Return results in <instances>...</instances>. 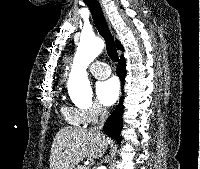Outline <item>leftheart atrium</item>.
<instances>
[{"mask_svg": "<svg viewBox=\"0 0 200 169\" xmlns=\"http://www.w3.org/2000/svg\"><path fill=\"white\" fill-rule=\"evenodd\" d=\"M120 93L119 82L116 78H110L97 86V97L104 106H112Z\"/></svg>", "mask_w": 200, "mask_h": 169, "instance_id": "obj_1", "label": "left heart atrium"}]
</instances>
